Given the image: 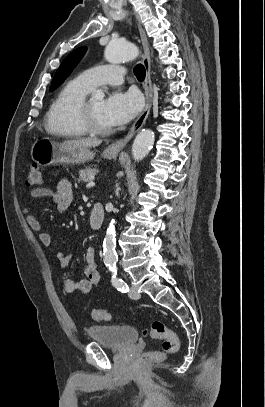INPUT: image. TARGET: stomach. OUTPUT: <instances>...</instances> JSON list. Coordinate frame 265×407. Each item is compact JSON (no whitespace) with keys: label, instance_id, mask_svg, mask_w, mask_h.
Instances as JSON below:
<instances>
[{"label":"stomach","instance_id":"obj_1","mask_svg":"<svg viewBox=\"0 0 265 407\" xmlns=\"http://www.w3.org/2000/svg\"><path fill=\"white\" fill-rule=\"evenodd\" d=\"M118 152L109 148L102 153L104 158L114 159ZM94 153L87 147L65 145L50 139L36 140L31 148L32 160L41 166L57 164H80L93 159Z\"/></svg>","mask_w":265,"mask_h":407}]
</instances>
